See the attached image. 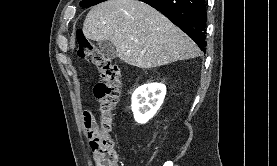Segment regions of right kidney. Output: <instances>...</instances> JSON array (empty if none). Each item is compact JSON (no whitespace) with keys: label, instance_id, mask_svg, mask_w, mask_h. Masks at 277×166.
<instances>
[{"label":"right kidney","instance_id":"right-kidney-1","mask_svg":"<svg viewBox=\"0 0 277 166\" xmlns=\"http://www.w3.org/2000/svg\"><path fill=\"white\" fill-rule=\"evenodd\" d=\"M166 95V86L162 83L145 84L137 88L132 95V111L136 122H148L162 105Z\"/></svg>","mask_w":277,"mask_h":166}]
</instances>
